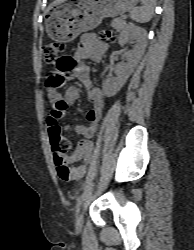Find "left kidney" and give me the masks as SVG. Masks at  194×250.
<instances>
[{
  "instance_id": "left-kidney-1",
  "label": "left kidney",
  "mask_w": 194,
  "mask_h": 250,
  "mask_svg": "<svg viewBox=\"0 0 194 250\" xmlns=\"http://www.w3.org/2000/svg\"><path fill=\"white\" fill-rule=\"evenodd\" d=\"M135 40V45L132 50L125 53V63L118 66L116 77L108 80L104 84V90L113 89V93L118 91L127 81L129 76L137 67L139 61L144 55L147 46V32L145 29L134 25L133 23L126 24L119 35L118 42L121 46L125 45L128 40Z\"/></svg>"
}]
</instances>
